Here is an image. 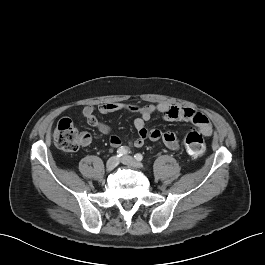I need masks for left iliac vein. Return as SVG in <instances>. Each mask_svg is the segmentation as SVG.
Returning a JSON list of instances; mask_svg holds the SVG:
<instances>
[{
  "mask_svg": "<svg viewBox=\"0 0 265 265\" xmlns=\"http://www.w3.org/2000/svg\"><path fill=\"white\" fill-rule=\"evenodd\" d=\"M121 162L125 165L135 167V168H142V164L135 161L131 156H124L121 158Z\"/></svg>",
  "mask_w": 265,
  "mask_h": 265,
  "instance_id": "1",
  "label": "left iliac vein"
}]
</instances>
